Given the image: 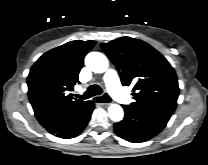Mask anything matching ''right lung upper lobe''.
<instances>
[{
    "label": "right lung upper lobe",
    "mask_w": 208,
    "mask_h": 165,
    "mask_svg": "<svg viewBox=\"0 0 208 165\" xmlns=\"http://www.w3.org/2000/svg\"><path fill=\"white\" fill-rule=\"evenodd\" d=\"M95 41H71L43 54L27 77L28 95L40 124L51 134L71 126L92 101L73 99L83 59Z\"/></svg>",
    "instance_id": "obj_1"
}]
</instances>
